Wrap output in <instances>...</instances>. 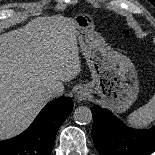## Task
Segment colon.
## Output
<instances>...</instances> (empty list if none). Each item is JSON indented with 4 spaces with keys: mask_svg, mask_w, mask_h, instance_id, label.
Instances as JSON below:
<instances>
[{
    "mask_svg": "<svg viewBox=\"0 0 155 155\" xmlns=\"http://www.w3.org/2000/svg\"><path fill=\"white\" fill-rule=\"evenodd\" d=\"M130 34H131V33H130V31H129V30H125V31H124V35H125L126 37H129V36H130Z\"/></svg>",
    "mask_w": 155,
    "mask_h": 155,
    "instance_id": "1",
    "label": "colon"
}]
</instances>
